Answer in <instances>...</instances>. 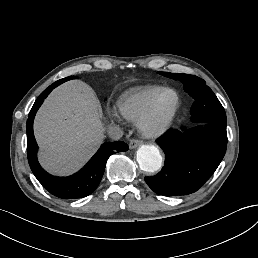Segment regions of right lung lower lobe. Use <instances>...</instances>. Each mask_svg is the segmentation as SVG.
<instances>
[{"instance_id":"obj_1","label":"right lung lower lobe","mask_w":258,"mask_h":258,"mask_svg":"<svg viewBox=\"0 0 258 258\" xmlns=\"http://www.w3.org/2000/svg\"><path fill=\"white\" fill-rule=\"evenodd\" d=\"M75 76L58 80L46 88L36 99L27 119V155L32 172L42 186L52 195L62 199L83 198L90 195L99 185L105 171L106 162L116 151H127L128 145L122 141L103 144L90 161L77 173L68 177H56L47 173L38 163V146L33 134V120L44 99L58 85Z\"/></svg>"}]
</instances>
